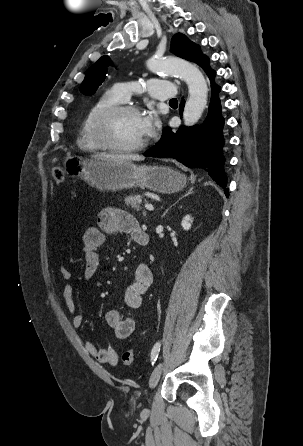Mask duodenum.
Masks as SVG:
<instances>
[{
  "instance_id": "duodenum-1",
  "label": "duodenum",
  "mask_w": 303,
  "mask_h": 446,
  "mask_svg": "<svg viewBox=\"0 0 303 446\" xmlns=\"http://www.w3.org/2000/svg\"><path fill=\"white\" fill-rule=\"evenodd\" d=\"M148 241H149L148 235L145 232L140 234L137 238V243H139L141 245H146L148 243Z\"/></svg>"
}]
</instances>
